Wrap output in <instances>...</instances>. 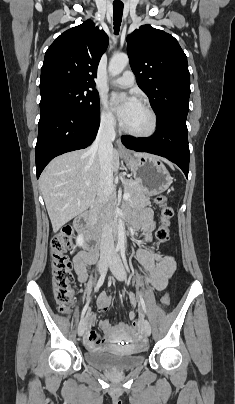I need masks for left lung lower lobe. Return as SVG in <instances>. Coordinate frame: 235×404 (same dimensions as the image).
<instances>
[{
    "instance_id": "left-lung-lower-lobe-1",
    "label": "left lung lower lobe",
    "mask_w": 235,
    "mask_h": 404,
    "mask_svg": "<svg viewBox=\"0 0 235 404\" xmlns=\"http://www.w3.org/2000/svg\"><path fill=\"white\" fill-rule=\"evenodd\" d=\"M156 133L149 138L122 136L125 147L167 158L177 164L188 178L189 146L186 119L170 118L157 124Z\"/></svg>"
}]
</instances>
